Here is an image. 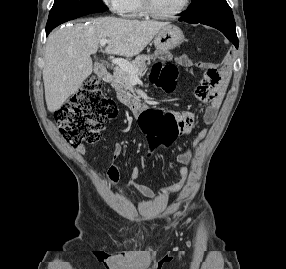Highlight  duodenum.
Here are the masks:
<instances>
[{"label":"duodenum","instance_id":"1","mask_svg":"<svg viewBox=\"0 0 286 269\" xmlns=\"http://www.w3.org/2000/svg\"><path fill=\"white\" fill-rule=\"evenodd\" d=\"M96 72L105 82L108 83L111 81V74L103 63H98L96 65ZM133 107L137 111H140L143 108V106L137 102L133 103Z\"/></svg>","mask_w":286,"mask_h":269}]
</instances>
